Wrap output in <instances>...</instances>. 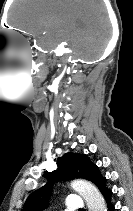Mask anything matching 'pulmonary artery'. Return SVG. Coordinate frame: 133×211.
<instances>
[{
	"mask_svg": "<svg viewBox=\"0 0 133 211\" xmlns=\"http://www.w3.org/2000/svg\"><path fill=\"white\" fill-rule=\"evenodd\" d=\"M66 211H75V210H81L84 206L83 199L76 194H71L66 198L65 202Z\"/></svg>",
	"mask_w": 133,
	"mask_h": 211,
	"instance_id": "1",
	"label": "pulmonary artery"
}]
</instances>
